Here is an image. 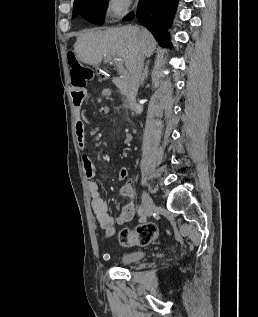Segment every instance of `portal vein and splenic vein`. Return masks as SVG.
<instances>
[{
	"label": "portal vein and splenic vein",
	"instance_id": "18ae733b",
	"mask_svg": "<svg viewBox=\"0 0 258 317\" xmlns=\"http://www.w3.org/2000/svg\"><path fill=\"white\" fill-rule=\"evenodd\" d=\"M105 58H107L106 54H105ZM108 58H110V60H112L111 56H108ZM113 60H115V58H113Z\"/></svg>",
	"mask_w": 258,
	"mask_h": 317
}]
</instances>
